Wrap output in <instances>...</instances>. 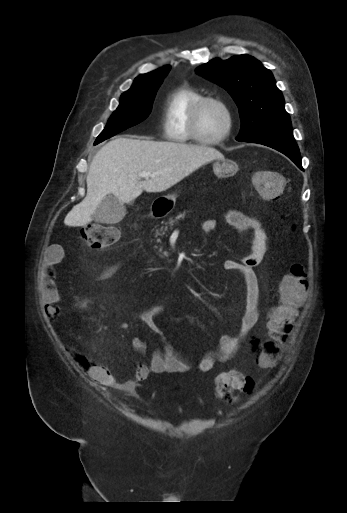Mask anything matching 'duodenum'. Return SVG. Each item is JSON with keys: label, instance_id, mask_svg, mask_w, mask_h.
I'll return each mask as SVG.
<instances>
[{"label": "duodenum", "instance_id": "410a0bca", "mask_svg": "<svg viewBox=\"0 0 347 513\" xmlns=\"http://www.w3.org/2000/svg\"><path fill=\"white\" fill-rule=\"evenodd\" d=\"M164 210H165V205L162 202L156 200L152 205L151 215L161 216L162 215L161 213H163Z\"/></svg>", "mask_w": 347, "mask_h": 513}]
</instances>
